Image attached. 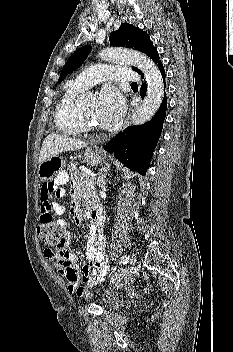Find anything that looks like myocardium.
<instances>
[{"mask_svg":"<svg viewBox=\"0 0 233 352\" xmlns=\"http://www.w3.org/2000/svg\"><path fill=\"white\" fill-rule=\"evenodd\" d=\"M80 119L82 123V127L86 131H97L99 127L92 123L91 120L88 118L86 113L84 112L82 107H79Z\"/></svg>","mask_w":233,"mask_h":352,"instance_id":"myocardium-1","label":"myocardium"}]
</instances>
